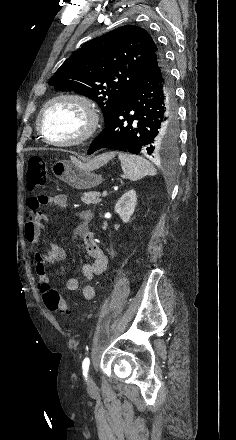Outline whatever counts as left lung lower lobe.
Instances as JSON below:
<instances>
[{
  "instance_id": "obj_1",
  "label": "left lung lower lobe",
  "mask_w": 236,
  "mask_h": 440,
  "mask_svg": "<svg viewBox=\"0 0 236 440\" xmlns=\"http://www.w3.org/2000/svg\"><path fill=\"white\" fill-rule=\"evenodd\" d=\"M176 129L175 88L163 55H157L91 144L88 154L101 148L151 154L162 144L173 143Z\"/></svg>"
}]
</instances>
